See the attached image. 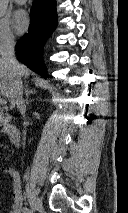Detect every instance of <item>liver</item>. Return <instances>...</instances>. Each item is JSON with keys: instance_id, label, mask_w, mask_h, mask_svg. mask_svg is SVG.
Masks as SVG:
<instances>
[{"instance_id": "6515ba94", "label": "liver", "mask_w": 128, "mask_h": 213, "mask_svg": "<svg viewBox=\"0 0 128 213\" xmlns=\"http://www.w3.org/2000/svg\"><path fill=\"white\" fill-rule=\"evenodd\" d=\"M22 76L27 78L30 75V71L24 66L21 65ZM14 77L11 73L9 66L6 64L5 60L0 58V94L7 97L8 100L14 105L12 97Z\"/></svg>"}]
</instances>
